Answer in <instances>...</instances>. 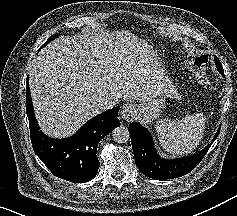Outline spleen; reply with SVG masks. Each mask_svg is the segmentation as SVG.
I'll return each instance as SVG.
<instances>
[{
  "mask_svg": "<svg viewBox=\"0 0 237 216\" xmlns=\"http://www.w3.org/2000/svg\"><path fill=\"white\" fill-rule=\"evenodd\" d=\"M155 130L161 147L172 156L192 153L203 138L204 117L194 114L181 120L163 119L156 122Z\"/></svg>",
  "mask_w": 237,
  "mask_h": 216,
  "instance_id": "1",
  "label": "spleen"
}]
</instances>
